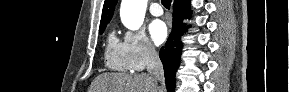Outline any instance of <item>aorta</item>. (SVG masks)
<instances>
[{
	"label": "aorta",
	"mask_w": 289,
	"mask_h": 92,
	"mask_svg": "<svg viewBox=\"0 0 289 92\" xmlns=\"http://www.w3.org/2000/svg\"><path fill=\"white\" fill-rule=\"evenodd\" d=\"M147 0H122L120 17L123 25L130 30H137L144 21Z\"/></svg>",
	"instance_id": "obj_1"
}]
</instances>
